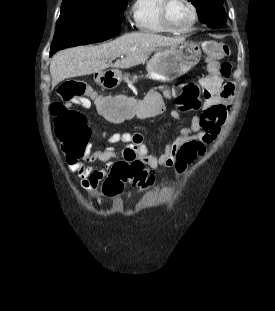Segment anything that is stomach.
<instances>
[{
	"label": "stomach",
	"instance_id": "obj_1",
	"mask_svg": "<svg viewBox=\"0 0 275 311\" xmlns=\"http://www.w3.org/2000/svg\"><path fill=\"white\" fill-rule=\"evenodd\" d=\"M201 58L199 45L194 42L181 41L174 45L165 46L155 52L147 61L146 69L148 75L157 81L170 82L194 67ZM101 80L96 81L103 88H114L122 80L133 84L137 76L132 74L122 75L116 69L101 71Z\"/></svg>",
	"mask_w": 275,
	"mask_h": 311
}]
</instances>
